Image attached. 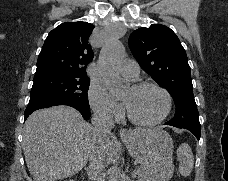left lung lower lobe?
I'll use <instances>...</instances> for the list:
<instances>
[{
    "label": "left lung lower lobe",
    "mask_w": 228,
    "mask_h": 181,
    "mask_svg": "<svg viewBox=\"0 0 228 181\" xmlns=\"http://www.w3.org/2000/svg\"><path fill=\"white\" fill-rule=\"evenodd\" d=\"M167 124V123H166ZM168 125V124H167ZM187 130L191 131L196 138L199 140L200 139V134H201V128H196V127H189L186 128Z\"/></svg>",
    "instance_id": "0a47b994"
}]
</instances>
